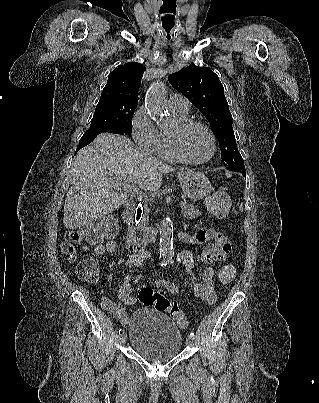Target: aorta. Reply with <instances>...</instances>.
Segmentation results:
<instances>
[{
    "label": "aorta",
    "instance_id": "762f6f07",
    "mask_svg": "<svg viewBox=\"0 0 319 403\" xmlns=\"http://www.w3.org/2000/svg\"><path fill=\"white\" fill-rule=\"evenodd\" d=\"M145 108L150 117L161 125L165 120L166 88L162 82L153 83L145 97ZM160 242L159 250L163 258L173 256V222L166 216L159 226Z\"/></svg>",
    "mask_w": 319,
    "mask_h": 403
}]
</instances>
